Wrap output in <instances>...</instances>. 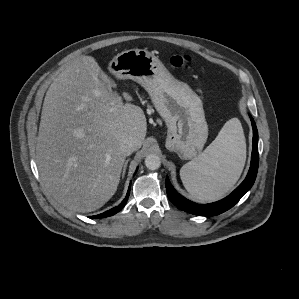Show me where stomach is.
I'll return each mask as SVG.
<instances>
[{
	"instance_id": "0dacf381",
	"label": "stomach",
	"mask_w": 299,
	"mask_h": 299,
	"mask_svg": "<svg viewBox=\"0 0 299 299\" xmlns=\"http://www.w3.org/2000/svg\"><path fill=\"white\" fill-rule=\"evenodd\" d=\"M108 69L117 78L136 81L148 92L166 122L169 151L184 160L201 153L208 137L202 101L187 84L175 79L158 57L144 49L125 50L110 61Z\"/></svg>"
}]
</instances>
